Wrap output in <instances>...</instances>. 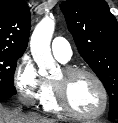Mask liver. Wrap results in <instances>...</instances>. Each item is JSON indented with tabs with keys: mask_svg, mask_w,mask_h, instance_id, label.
<instances>
[{
	"mask_svg": "<svg viewBox=\"0 0 118 123\" xmlns=\"http://www.w3.org/2000/svg\"><path fill=\"white\" fill-rule=\"evenodd\" d=\"M0 123H58L54 119L31 117L19 110H8L0 104Z\"/></svg>",
	"mask_w": 118,
	"mask_h": 123,
	"instance_id": "6515ba94",
	"label": "liver"
}]
</instances>
